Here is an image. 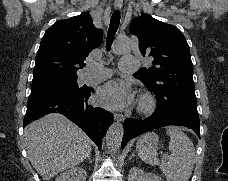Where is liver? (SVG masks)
<instances>
[{"instance_id": "6515ba94", "label": "liver", "mask_w": 228, "mask_h": 181, "mask_svg": "<svg viewBox=\"0 0 228 181\" xmlns=\"http://www.w3.org/2000/svg\"><path fill=\"white\" fill-rule=\"evenodd\" d=\"M27 157L43 181L73 169L91 155L89 137L59 113L45 115L24 129Z\"/></svg>"}]
</instances>
